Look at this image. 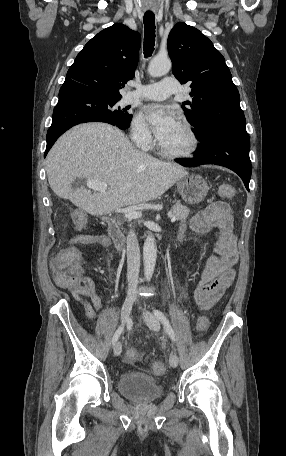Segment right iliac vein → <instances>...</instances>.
Wrapping results in <instances>:
<instances>
[{
	"label": "right iliac vein",
	"mask_w": 286,
	"mask_h": 456,
	"mask_svg": "<svg viewBox=\"0 0 286 456\" xmlns=\"http://www.w3.org/2000/svg\"><path fill=\"white\" fill-rule=\"evenodd\" d=\"M135 299L133 297H127L123 303L122 310H121V322L122 324H126L127 321L129 320L132 306L134 303ZM122 351V345L121 342H117L114 346V355L119 356Z\"/></svg>",
	"instance_id": "1"
}]
</instances>
